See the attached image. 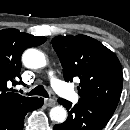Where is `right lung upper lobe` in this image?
<instances>
[{"label":"right lung upper lobe","instance_id":"cb5924a9","mask_svg":"<svg viewBox=\"0 0 130 130\" xmlns=\"http://www.w3.org/2000/svg\"><path fill=\"white\" fill-rule=\"evenodd\" d=\"M46 38L20 32L17 29L0 30V111L33 101L36 97H25L8 88L21 80V55L28 47L43 44Z\"/></svg>","mask_w":130,"mask_h":130}]
</instances>
